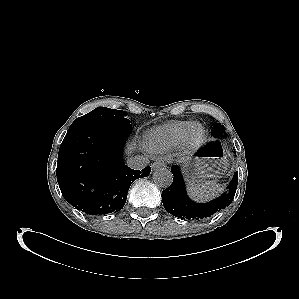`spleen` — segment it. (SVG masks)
Listing matches in <instances>:
<instances>
[{
  "mask_svg": "<svg viewBox=\"0 0 299 299\" xmlns=\"http://www.w3.org/2000/svg\"><path fill=\"white\" fill-rule=\"evenodd\" d=\"M221 191V185L216 183L215 180L205 181L198 185H190L188 188L190 197L195 201L201 202L213 199Z\"/></svg>",
  "mask_w": 299,
  "mask_h": 299,
  "instance_id": "obj_1",
  "label": "spleen"
}]
</instances>
